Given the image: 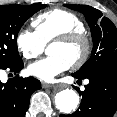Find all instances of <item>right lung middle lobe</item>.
I'll list each match as a JSON object with an SVG mask.
<instances>
[{
	"instance_id": "obj_1",
	"label": "right lung middle lobe",
	"mask_w": 117,
	"mask_h": 117,
	"mask_svg": "<svg viewBox=\"0 0 117 117\" xmlns=\"http://www.w3.org/2000/svg\"><path fill=\"white\" fill-rule=\"evenodd\" d=\"M46 4L0 5V66L20 62L17 35L21 26Z\"/></svg>"
}]
</instances>
